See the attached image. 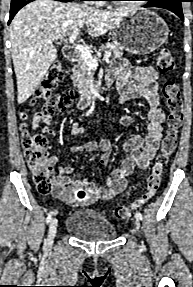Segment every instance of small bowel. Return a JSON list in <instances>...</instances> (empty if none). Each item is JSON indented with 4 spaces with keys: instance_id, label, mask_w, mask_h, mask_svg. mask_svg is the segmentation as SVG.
Masks as SVG:
<instances>
[{
    "instance_id": "1",
    "label": "small bowel",
    "mask_w": 193,
    "mask_h": 287,
    "mask_svg": "<svg viewBox=\"0 0 193 287\" xmlns=\"http://www.w3.org/2000/svg\"><path fill=\"white\" fill-rule=\"evenodd\" d=\"M110 72L119 81L121 104L131 99L144 98L149 104L147 116L149 124L147 133L143 137L135 135L127 140L123 146L128 156L122 161L120 167L111 170L106 177L105 183L97 186L88 180H72L70 175L73 169L59 162L57 156L50 158V164L56 168L57 174L53 180L52 195L69 205L90 204L99 200H106L122 192L136 169H146L150 160L156 153L163 133L165 112L161 108L158 97V72L153 67L130 66L122 59H116L111 63ZM123 125H131L132 119L128 116L121 118ZM40 124L47 125L50 135H53V127L50 117L37 115L32 123V130H36ZM70 132L74 136L82 135L85 128L77 122L71 124ZM100 151L99 163L102 166L109 162L112 145L108 140L99 142L80 143L71 146L70 153ZM79 187L87 188V196L79 201L74 197V191Z\"/></svg>"
}]
</instances>
